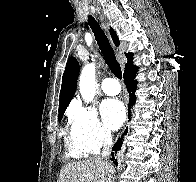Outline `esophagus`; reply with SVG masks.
I'll return each mask as SVG.
<instances>
[{"mask_svg": "<svg viewBox=\"0 0 196 182\" xmlns=\"http://www.w3.org/2000/svg\"><path fill=\"white\" fill-rule=\"evenodd\" d=\"M101 21H102V25H103L104 29L108 31L107 25H106V23L104 21V18L101 17Z\"/></svg>", "mask_w": 196, "mask_h": 182, "instance_id": "obj_1", "label": "esophagus"}]
</instances>
